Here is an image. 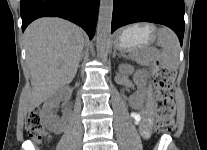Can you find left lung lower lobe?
<instances>
[{"instance_id": "0a47b994", "label": "left lung lower lobe", "mask_w": 207, "mask_h": 150, "mask_svg": "<svg viewBox=\"0 0 207 150\" xmlns=\"http://www.w3.org/2000/svg\"><path fill=\"white\" fill-rule=\"evenodd\" d=\"M184 13V0H114L111 33L131 23H157L171 28L182 45Z\"/></svg>"}]
</instances>
